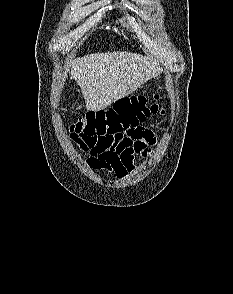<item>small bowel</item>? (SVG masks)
Masks as SVG:
<instances>
[{
    "label": "small bowel",
    "instance_id": "obj_1",
    "mask_svg": "<svg viewBox=\"0 0 233 294\" xmlns=\"http://www.w3.org/2000/svg\"><path fill=\"white\" fill-rule=\"evenodd\" d=\"M134 131L137 132H125V137L134 138L123 149H107L103 153L92 155L87 160L88 165L95 170L112 172L118 178L124 177L134 168V155L147 153L148 146L155 143L154 134L145 129V126H134Z\"/></svg>",
    "mask_w": 233,
    "mask_h": 294
}]
</instances>
